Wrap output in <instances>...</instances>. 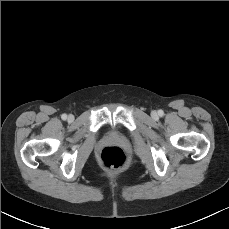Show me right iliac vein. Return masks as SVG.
Listing matches in <instances>:
<instances>
[{
  "label": "right iliac vein",
  "mask_w": 229,
  "mask_h": 229,
  "mask_svg": "<svg viewBox=\"0 0 229 229\" xmlns=\"http://www.w3.org/2000/svg\"><path fill=\"white\" fill-rule=\"evenodd\" d=\"M74 120V116L73 115H69L68 116V121H73Z\"/></svg>",
  "instance_id": "1"
}]
</instances>
